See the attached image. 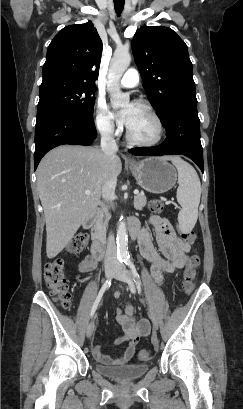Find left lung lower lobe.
Listing matches in <instances>:
<instances>
[{
  "mask_svg": "<svg viewBox=\"0 0 243 409\" xmlns=\"http://www.w3.org/2000/svg\"><path fill=\"white\" fill-rule=\"evenodd\" d=\"M163 127L167 130V138L162 144L133 148L131 153L138 156L185 155L192 159L203 172V149L200 141L197 104L181 108Z\"/></svg>",
  "mask_w": 243,
  "mask_h": 409,
  "instance_id": "left-lung-lower-lobe-1",
  "label": "left lung lower lobe"
}]
</instances>
